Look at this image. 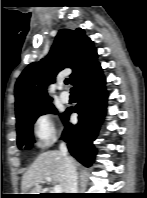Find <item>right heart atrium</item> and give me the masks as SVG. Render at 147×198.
<instances>
[{"instance_id":"d8ad5b80","label":"right heart atrium","mask_w":147,"mask_h":198,"mask_svg":"<svg viewBox=\"0 0 147 198\" xmlns=\"http://www.w3.org/2000/svg\"><path fill=\"white\" fill-rule=\"evenodd\" d=\"M33 135L36 145L44 148L54 143L59 134L53 116L50 113L39 114L33 122Z\"/></svg>"}]
</instances>
